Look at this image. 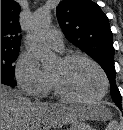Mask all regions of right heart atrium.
<instances>
[{"label": "right heart atrium", "instance_id": "1", "mask_svg": "<svg viewBox=\"0 0 123 130\" xmlns=\"http://www.w3.org/2000/svg\"><path fill=\"white\" fill-rule=\"evenodd\" d=\"M15 77L20 89L31 96H44L50 88V78L28 52L19 56Z\"/></svg>", "mask_w": 123, "mask_h": 130}]
</instances>
